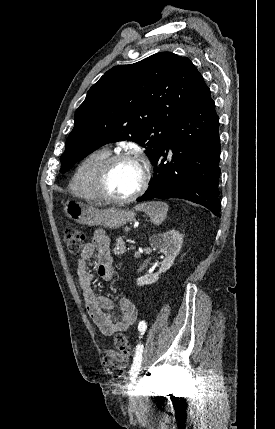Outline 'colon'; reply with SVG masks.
Wrapping results in <instances>:
<instances>
[{
  "label": "colon",
  "mask_w": 275,
  "mask_h": 429,
  "mask_svg": "<svg viewBox=\"0 0 275 429\" xmlns=\"http://www.w3.org/2000/svg\"><path fill=\"white\" fill-rule=\"evenodd\" d=\"M64 240L68 252L76 255L84 246V235L82 232L67 226L64 230ZM114 350H108L103 354L102 363L107 373L112 377L123 374L130 356V344L123 334H116L113 339Z\"/></svg>",
  "instance_id": "5ec220e1"
}]
</instances>
